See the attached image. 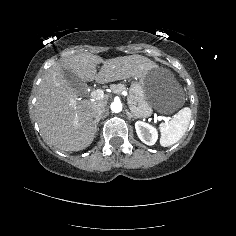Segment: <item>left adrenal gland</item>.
Masks as SVG:
<instances>
[{
	"label": "left adrenal gland",
	"mask_w": 236,
	"mask_h": 236,
	"mask_svg": "<svg viewBox=\"0 0 236 236\" xmlns=\"http://www.w3.org/2000/svg\"><path fill=\"white\" fill-rule=\"evenodd\" d=\"M126 115L128 116L129 119L134 117L130 112H128V110H126ZM134 118H136V117H134Z\"/></svg>",
	"instance_id": "left-adrenal-gland-1"
}]
</instances>
